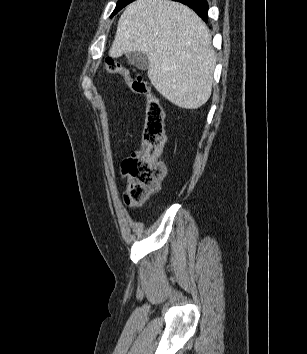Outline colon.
Wrapping results in <instances>:
<instances>
[{"instance_id": "colon-1", "label": "colon", "mask_w": 307, "mask_h": 354, "mask_svg": "<svg viewBox=\"0 0 307 354\" xmlns=\"http://www.w3.org/2000/svg\"><path fill=\"white\" fill-rule=\"evenodd\" d=\"M105 68L110 74L121 78L135 94L145 100L143 148L127 158L122 166L123 174L129 182L124 201L127 206L136 208L147 203L164 177V165L159 160L165 139L164 111L140 75H133L130 69L113 59L106 60Z\"/></svg>"}]
</instances>
